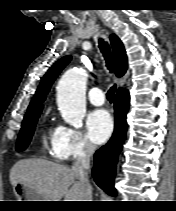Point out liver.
Wrapping results in <instances>:
<instances>
[{
  "mask_svg": "<svg viewBox=\"0 0 176 211\" xmlns=\"http://www.w3.org/2000/svg\"><path fill=\"white\" fill-rule=\"evenodd\" d=\"M12 186L18 182L36 189L48 201H87L92 187L87 189L68 166L43 159H23L10 170Z\"/></svg>",
  "mask_w": 176,
  "mask_h": 211,
  "instance_id": "liver-1",
  "label": "liver"
}]
</instances>
